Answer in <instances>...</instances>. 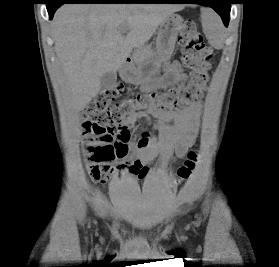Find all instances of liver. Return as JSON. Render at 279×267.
<instances>
[{
	"instance_id": "6515ba94",
	"label": "liver",
	"mask_w": 279,
	"mask_h": 267,
	"mask_svg": "<svg viewBox=\"0 0 279 267\" xmlns=\"http://www.w3.org/2000/svg\"><path fill=\"white\" fill-rule=\"evenodd\" d=\"M181 9L170 4L60 7L53 19V38L74 110H82L98 94L104 73L118 71L134 48L142 47L167 16Z\"/></svg>"
}]
</instances>
